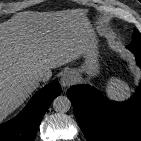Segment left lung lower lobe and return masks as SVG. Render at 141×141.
Here are the masks:
<instances>
[{
	"instance_id": "0a47b994",
	"label": "left lung lower lobe",
	"mask_w": 141,
	"mask_h": 141,
	"mask_svg": "<svg viewBox=\"0 0 141 141\" xmlns=\"http://www.w3.org/2000/svg\"><path fill=\"white\" fill-rule=\"evenodd\" d=\"M141 68V43L127 46ZM76 120L87 141H141V84L126 102L109 101L90 85L67 91Z\"/></svg>"
}]
</instances>
